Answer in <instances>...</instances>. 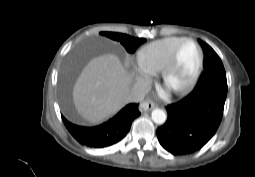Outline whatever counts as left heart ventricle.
Listing matches in <instances>:
<instances>
[{
	"instance_id": "b2bd125f",
	"label": "left heart ventricle",
	"mask_w": 255,
	"mask_h": 177,
	"mask_svg": "<svg viewBox=\"0 0 255 177\" xmlns=\"http://www.w3.org/2000/svg\"><path fill=\"white\" fill-rule=\"evenodd\" d=\"M197 63V49L193 44H186L182 48L177 63L169 75L167 86L174 90L186 84L193 76Z\"/></svg>"
}]
</instances>
